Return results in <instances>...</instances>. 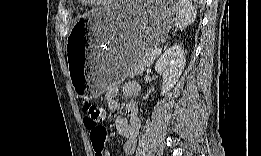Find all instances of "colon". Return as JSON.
<instances>
[{"label": "colon", "instance_id": "1", "mask_svg": "<svg viewBox=\"0 0 261 156\" xmlns=\"http://www.w3.org/2000/svg\"><path fill=\"white\" fill-rule=\"evenodd\" d=\"M81 111L84 125L90 131L92 147L98 156L104 147L107 136L106 130L101 124L104 118V110L102 107L86 101L82 103Z\"/></svg>", "mask_w": 261, "mask_h": 156}]
</instances>
